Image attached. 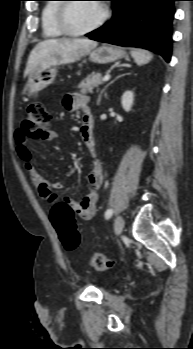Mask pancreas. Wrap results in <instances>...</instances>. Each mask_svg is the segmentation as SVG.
I'll list each match as a JSON object with an SVG mask.
<instances>
[{
    "label": "pancreas",
    "instance_id": "pancreas-1",
    "mask_svg": "<svg viewBox=\"0 0 193 349\" xmlns=\"http://www.w3.org/2000/svg\"><path fill=\"white\" fill-rule=\"evenodd\" d=\"M102 84L101 73H92L83 81L80 82L78 88L82 94L92 93L93 89L98 88Z\"/></svg>",
    "mask_w": 193,
    "mask_h": 349
}]
</instances>
